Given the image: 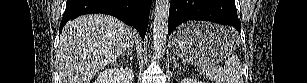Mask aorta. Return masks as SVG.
<instances>
[{
	"instance_id": "762f6f07",
	"label": "aorta",
	"mask_w": 307,
	"mask_h": 83,
	"mask_svg": "<svg viewBox=\"0 0 307 83\" xmlns=\"http://www.w3.org/2000/svg\"><path fill=\"white\" fill-rule=\"evenodd\" d=\"M170 0H156L153 24V50L157 58H162L165 52Z\"/></svg>"
}]
</instances>
